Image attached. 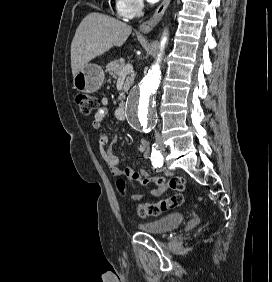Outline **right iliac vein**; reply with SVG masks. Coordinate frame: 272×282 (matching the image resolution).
<instances>
[{
	"label": "right iliac vein",
	"instance_id": "obj_1",
	"mask_svg": "<svg viewBox=\"0 0 272 282\" xmlns=\"http://www.w3.org/2000/svg\"><path fill=\"white\" fill-rule=\"evenodd\" d=\"M159 149L162 151V145L161 144H159Z\"/></svg>",
	"mask_w": 272,
	"mask_h": 282
}]
</instances>
